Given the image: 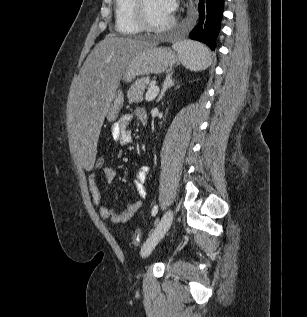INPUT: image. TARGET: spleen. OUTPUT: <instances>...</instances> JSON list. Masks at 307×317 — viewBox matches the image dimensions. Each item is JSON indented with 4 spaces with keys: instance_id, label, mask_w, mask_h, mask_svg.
Segmentation results:
<instances>
[{
    "instance_id": "1",
    "label": "spleen",
    "mask_w": 307,
    "mask_h": 317,
    "mask_svg": "<svg viewBox=\"0 0 307 317\" xmlns=\"http://www.w3.org/2000/svg\"><path fill=\"white\" fill-rule=\"evenodd\" d=\"M173 48L177 51L181 63L192 71H201L208 67V49L199 43L184 41L176 43Z\"/></svg>"
}]
</instances>
